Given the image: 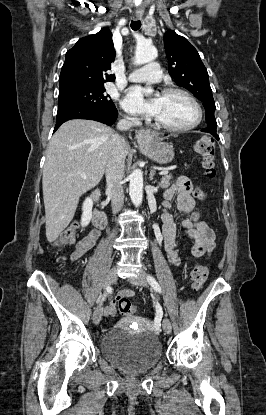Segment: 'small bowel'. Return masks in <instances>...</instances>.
Returning a JSON list of instances; mask_svg holds the SVG:
<instances>
[{
  "instance_id": "1",
  "label": "small bowel",
  "mask_w": 266,
  "mask_h": 415,
  "mask_svg": "<svg viewBox=\"0 0 266 415\" xmlns=\"http://www.w3.org/2000/svg\"><path fill=\"white\" fill-rule=\"evenodd\" d=\"M177 194V207L181 212L192 213L190 218L182 221V227L188 237L194 240V245L191 251L192 256L201 257L208 256L215 247V234L210 226L199 219L195 211L196 201L192 196V183L185 176L176 178L173 185L167 190L165 194L164 210L162 212V235L164 240V247L169 261L174 265H180L183 260L178 252L174 249L177 227L173 216L167 210L169 200L174 194ZM100 233L98 231H91L83 237L72 252L70 259L76 261L81 258L87 251H89L95 242L98 240ZM131 290L121 291L116 298L105 309L106 315H114L116 312V303L119 299L132 295Z\"/></svg>"
}]
</instances>
